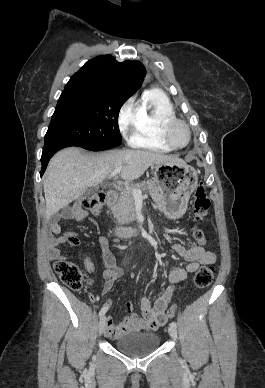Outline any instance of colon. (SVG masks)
Wrapping results in <instances>:
<instances>
[{
    "instance_id": "obj_1",
    "label": "colon",
    "mask_w": 265,
    "mask_h": 388,
    "mask_svg": "<svg viewBox=\"0 0 265 388\" xmlns=\"http://www.w3.org/2000/svg\"><path fill=\"white\" fill-rule=\"evenodd\" d=\"M106 195L103 191H98L83 199V207L92 214H99L103 208ZM210 208V201L202 183L198 185L194 192V220L201 222L207 215ZM193 237L198 243L205 242V233L200 228H194ZM54 270L61 281L72 290H80L83 286V274L80 268L69 261L57 260L54 263ZM214 277V268L211 265L201 267L194 276V284L197 288L209 286ZM176 306L172 305L167 309L166 315L169 318L175 316Z\"/></svg>"
}]
</instances>
